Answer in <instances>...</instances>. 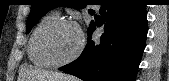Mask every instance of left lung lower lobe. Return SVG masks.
<instances>
[{
  "mask_svg": "<svg viewBox=\"0 0 169 81\" xmlns=\"http://www.w3.org/2000/svg\"><path fill=\"white\" fill-rule=\"evenodd\" d=\"M100 5L105 29L100 42L91 40L93 22L81 56L59 70L84 81H135L148 31L146 5L141 0H101Z\"/></svg>",
  "mask_w": 169,
  "mask_h": 81,
  "instance_id": "left-lung-lower-lobe-1",
  "label": "left lung lower lobe"
}]
</instances>
